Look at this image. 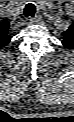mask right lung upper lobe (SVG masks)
Masks as SVG:
<instances>
[{"mask_svg":"<svg viewBox=\"0 0 74 122\" xmlns=\"http://www.w3.org/2000/svg\"><path fill=\"white\" fill-rule=\"evenodd\" d=\"M8 28V22H0V47L6 46L11 40V37L8 33Z\"/></svg>","mask_w":74,"mask_h":122,"instance_id":"obj_1","label":"right lung upper lobe"}]
</instances>
